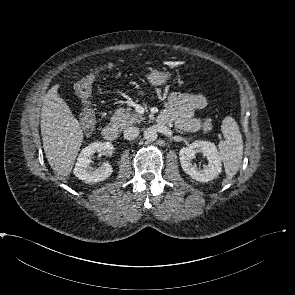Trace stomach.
Returning <instances> with one entry per match:
<instances>
[{"mask_svg": "<svg viewBox=\"0 0 295 295\" xmlns=\"http://www.w3.org/2000/svg\"><path fill=\"white\" fill-rule=\"evenodd\" d=\"M170 78V73L157 70H154L147 75V80L152 86H160L165 84Z\"/></svg>", "mask_w": 295, "mask_h": 295, "instance_id": "obj_1", "label": "stomach"}]
</instances>
